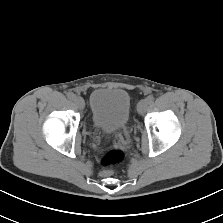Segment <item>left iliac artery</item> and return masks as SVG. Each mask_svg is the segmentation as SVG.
<instances>
[{"instance_id": "44dca946", "label": "left iliac artery", "mask_w": 223, "mask_h": 223, "mask_svg": "<svg viewBox=\"0 0 223 223\" xmlns=\"http://www.w3.org/2000/svg\"><path fill=\"white\" fill-rule=\"evenodd\" d=\"M155 97L153 95H149L146 100L148 103H152L154 101Z\"/></svg>"}]
</instances>
